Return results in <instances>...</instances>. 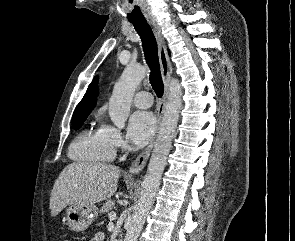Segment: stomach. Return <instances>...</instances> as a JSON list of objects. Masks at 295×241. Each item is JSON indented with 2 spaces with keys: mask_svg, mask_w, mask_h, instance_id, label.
<instances>
[{
  "mask_svg": "<svg viewBox=\"0 0 295 241\" xmlns=\"http://www.w3.org/2000/svg\"><path fill=\"white\" fill-rule=\"evenodd\" d=\"M96 205L71 204L66 211V221L71 230L82 232L97 218Z\"/></svg>",
  "mask_w": 295,
  "mask_h": 241,
  "instance_id": "obj_1",
  "label": "stomach"
}]
</instances>
